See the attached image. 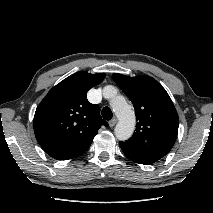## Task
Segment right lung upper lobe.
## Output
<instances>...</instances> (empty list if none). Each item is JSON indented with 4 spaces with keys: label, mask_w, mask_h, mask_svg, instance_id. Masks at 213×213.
I'll list each match as a JSON object with an SVG mask.
<instances>
[{
    "label": "right lung upper lobe",
    "mask_w": 213,
    "mask_h": 213,
    "mask_svg": "<svg viewBox=\"0 0 213 213\" xmlns=\"http://www.w3.org/2000/svg\"><path fill=\"white\" fill-rule=\"evenodd\" d=\"M105 78V73L77 72L54 86L38 105L34 133L43 150L57 160L77 157L90 147L102 125L98 105L87 92Z\"/></svg>",
    "instance_id": "1"
}]
</instances>
